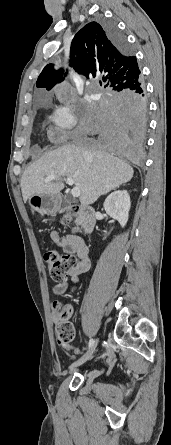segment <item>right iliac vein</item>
I'll use <instances>...</instances> for the list:
<instances>
[{
	"mask_svg": "<svg viewBox=\"0 0 171 445\" xmlns=\"http://www.w3.org/2000/svg\"><path fill=\"white\" fill-rule=\"evenodd\" d=\"M98 343V339L94 340L93 345L91 346V348L89 349V351L87 352L86 355H84L81 359L73 362L70 366H69V372H72L75 368L81 366L82 364H84L94 353L95 348L97 346Z\"/></svg>",
	"mask_w": 171,
	"mask_h": 445,
	"instance_id": "right-iliac-vein-1",
	"label": "right iliac vein"
}]
</instances>
